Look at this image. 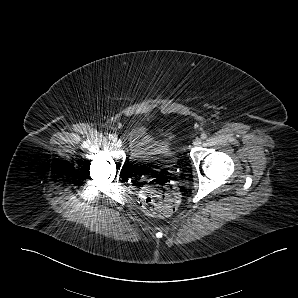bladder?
<instances>
[{
    "mask_svg": "<svg viewBox=\"0 0 298 298\" xmlns=\"http://www.w3.org/2000/svg\"><path fill=\"white\" fill-rule=\"evenodd\" d=\"M128 145L131 158L137 161L172 164L177 160L172 144L158 138L143 122H137L131 128Z\"/></svg>",
    "mask_w": 298,
    "mask_h": 298,
    "instance_id": "31cf9c89",
    "label": "bladder"
}]
</instances>
